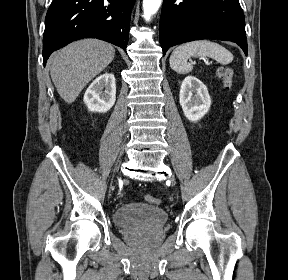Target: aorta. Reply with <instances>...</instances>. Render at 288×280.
<instances>
[{
    "label": "aorta",
    "instance_id": "1",
    "mask_svg": "<svg viewBox=\"0 0 288 280\" xmlns=\"http://www.w3.org/2000/svg\"><path fill=\"white\" fill-rule=\"evenodd\" d=\"M162 0H143V17L150 21L151 17L158 11Z\"/></svg>",
    "mask_w": 288,
    "mask_h": 280
}]
</instances>
